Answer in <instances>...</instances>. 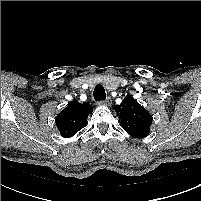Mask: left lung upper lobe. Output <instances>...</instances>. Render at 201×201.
Returning a JSON list of instances; mask_svg holds the SVG:
<instances>
[{"label":"left lung upper lobe","mask_w":201,"mask_h":201,"mask_svg":"<svg viewBox=\"0 0 201 201\" xmlns=\"http://www.w3.org/2000/svg\"><path fill=\"white\" fill-rule=\"evenodd\" d=\"M114 109L121 120V127L132 137L143 138L150 133L152 117L133 97L127 96Z\"/></svg>","instance_id":"obj_1"}]
</instances>
